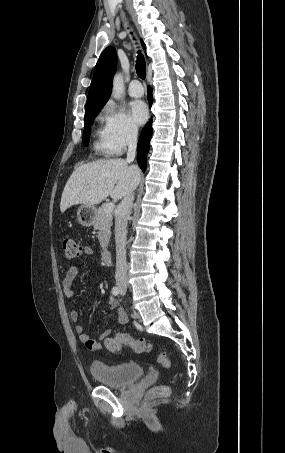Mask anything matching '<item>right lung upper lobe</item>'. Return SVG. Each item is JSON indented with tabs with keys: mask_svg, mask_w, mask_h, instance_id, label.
<instances>
[{
	"mask_svg": "<svg viewBox=\"0 0 285 453\" xmlns=\"http://www.w3.org/2000/svg\"><path fill=\"white\" fill-rule=\"evenodd\" d=\"M143 48L144 42L141 40ZM117 66V53L114 47H107L99 57L95 66L93 79L89 88L88 100L85 107V114L101 110L108 101L112 80Z\"/></svg>",
	"mask_w": 285,
	"mask_h": 453,
	"instance_id": "right-lung-upper-lobe-1",
	"label": "right lung upper lobe"
}]
</instances>
